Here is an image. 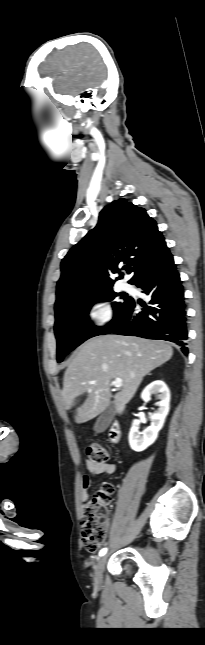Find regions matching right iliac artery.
Listing matches in <instances>:
<instances>
[{
	"label": "right iliac artery",
	"mask_w": 205,
	"mask_h": 645,
	"mask_svg": "<svg viewBox=\"0 0 205 645\" xmlns=\"http://www.w3.org/2000/svg\"><path fill=\"white\" fill-rule=\"evenodd\" d=\"M106 552H107V548H103V549H101V550H100V552H99V556H103V555H105V554H106Z\"/></svg>",
	"instance_id": "obj_1"
}]
</instances>
